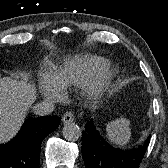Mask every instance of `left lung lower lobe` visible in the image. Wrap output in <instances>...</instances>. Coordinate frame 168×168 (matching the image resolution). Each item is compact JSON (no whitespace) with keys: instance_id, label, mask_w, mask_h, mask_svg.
I'll return each mask as SVG.
<instances>
[{"instance_id":"left-lung-lower-lobe-1","label":"left lung lower lobe","mask_w":168,"mask_h":168,"mask_svg":"<svg viewBox=\"0 0 168 168\" xmlns=\"http://www.w3.org/2000/svg\"><path fill=\"white\" fill-rule=\"evenodd\" d=\"M150 142V136L131 150L114 148L96 130L93 120L82 131V156L86 168H138Z\"/></svg>"}]
</instances>
